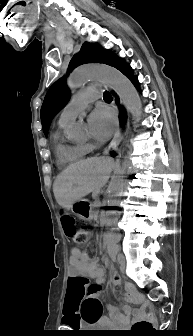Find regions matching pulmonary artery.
<instances>
[{
    "instance_id": "pulmonary-artery-1",
    "label": "pulmonary artery",
    "mask_w": 193,
    "mask_h": 336,
    "mask_svg": "<svg viewBox=\"0 0 193 336\" xmlns=\"http://www.w3.org/2000/svg\"><path fill=\"white\" fill-rule=\"evenodd\" d=\"M99 97L100 92L96 87H91L75 93L60 114L58 120L59 126H66L75 120L90 101L96 100Z\"/></svg>"
}]
</instances>
